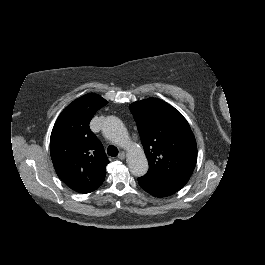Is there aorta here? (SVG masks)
<instances>
[{
  "label": "aorta",
  "instance_id": "762f6f07",
  "mask_svg": "<svg viewBox=\"0 0 265 265\" xmlns=\"http://www.w3.org/2000/svg\"><path fill=\"white\" fill-rule=\"evenodd\" d=\"M102 133L107 139L116 143L125 142L128 138L122 121L114 115H109L104 119ZM127 165L130 173L135 177L144 176L149 169L148 161L139 148L129 150Z\"/></svg>",
  "mask_w": 265,
  "mask_h": 265
}]
</instances>
